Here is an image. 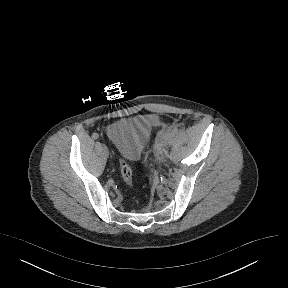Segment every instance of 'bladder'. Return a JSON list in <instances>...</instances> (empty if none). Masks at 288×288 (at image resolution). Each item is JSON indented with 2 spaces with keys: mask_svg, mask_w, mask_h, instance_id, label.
Returning a JSON list of instances; mask_svg holds the SVG:
<instances>
[{
  "mask_svg": "<svg viewBox=\"0 0 288 288\" xmlns=\"http://www.w3.org/2000/svg\"><path fill=\"white\" fill-rule=\"evenodd\" d=\"M152 130L151 119L136 116L114 123L107 129V136L119 152L127 159L134 160L141 154Z\"/></svg>",
  "mask_w": 288,
  "mask_h": 288,
  "instance_id": "31cf9c89",
  "label": "bladder"
}]
</instances>
